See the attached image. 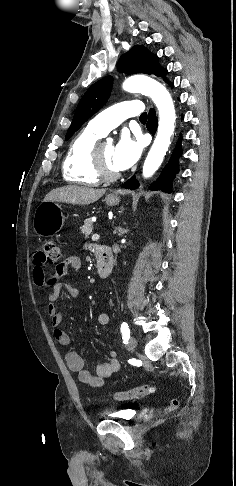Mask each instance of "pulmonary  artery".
Returning <instances> with one entry per match:
<instances>
[{"instance_id": "obj_1", "label": "pulmonary artery", "mask_w": 236, "mask_h": 486, "mask_svg": "<svg viewBox=\"0 0 236 486\" xmlns=\"http://www.w3.org/2000/svg\"><path fill=\"white\" fill-rule=\"evenodd\" d=\"M143 111L144 106L139 100L120 102L107 108L90 120L88 128L104 136L125 119L139 116Z\"/></svg>"}]
</instances>
